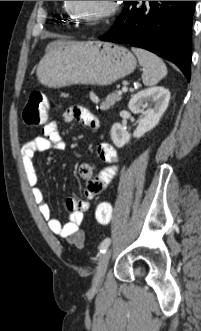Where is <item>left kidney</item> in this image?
<instances>
[{"label": "left kidney", "mask_w": 201, "mask_h": 331, "mask_svg": "<svg viewBox=\"0 0 201 331\" xmlns=\"http://www.w3.org/2000/svg\"><path fill=\"white\" fill-rule=\"evenodd\" d=\"M169 100V90L161 86L142 90L130 99L128 108L133 113L141 114L133 137H142L159 123L160 118L168 107ZM146 107H148L147 110H145ZM130 138L131 134L128 133L124 125L115 123L112 126L111 139L116 147H123L130 141Z\"/></svg>", "instance_id": "1"}]
</instances>
